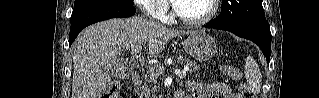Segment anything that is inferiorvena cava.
<instances>
[{
  "label": "inferior vena cava",
  "instance_id": "inferior-vena-cava-1",
  "mask_svg": "<svg viewBox=\"0 0 319 98\" xmlns=\"http://www.w3.org/2000/svg\"><path fill=\"white\" fill-rule=\"evenodd\" d=\"M147 16L149 17V14H147ZM148 19L151 20L150 17H149ZM152 21H153V20H152Z\"/></svg>",
  "mask_w": 319,
  "mask_h": 98
}]
</instances>
